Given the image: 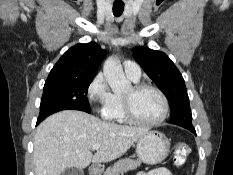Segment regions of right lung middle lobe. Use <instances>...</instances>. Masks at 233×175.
Returning a JSON list of instances; mask_svg holds the SVG:
<instances>
[{
    "label": "right lung middle lobe",
    "instance_id": "right-lung-middle-lobe-1",
    "mask_svg": "<svg viewBox=\"0 0 233 175\" xmlns=\"http://www.w3.org/2000/svg\"><path fill=\"white\" fill-rule=\"evenodd\" d=\"M94 77L47 79L43 88L38 119L61 110L90 113L87 90Z\"/></svg>",
    "mask_w": 233,
    "mask_h": 175
}]
</instances>
